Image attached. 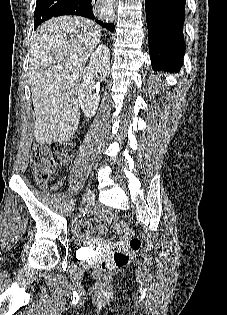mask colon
Here are the masks:
<instances>
[{"instance_id":"colon-1","label":"colon","mask_w":227,"mask_h":315,"mask_svg":"<svg viewBox=\"0 0 227 315\" xmlns=\"http://www.w3.org/2000/svg\"><path fill=\"white\" fill-rule=\"evenodd\" d=\"M79 145L80 141L76 137L51 144H35L31 161L36 183L45 186L51 174L71 160ZM111 224L115 232L122 233L128 238L129 247L126 250L115 252L109 259L102 260L97 265V271L100 274H108L117 268L128 265L141 246L140 239L127 228L122 219L113 217Z\"/></svg>"}]
</instances>
